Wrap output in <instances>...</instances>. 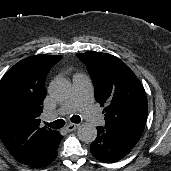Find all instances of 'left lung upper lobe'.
<instances>
[{
  "label": "left lung upper lobe",
  "mask_w": 171,
  "mask_h": 171,
  "mask_svg": "<svg viewBox=\"0 0 171 171\" xmlns=\"http://www.w3.org/2000/svg\"><path fill=\"white\" fill-rule=\"evenodd\" d=\"M94 84L95 99L105 115L103 129L136 144L145 127L148 102L145 90L132 70L119 58L98 52L77 54Z\"/></svg>",
  "instance_id": "5c2ea615"
}]
</instances>
